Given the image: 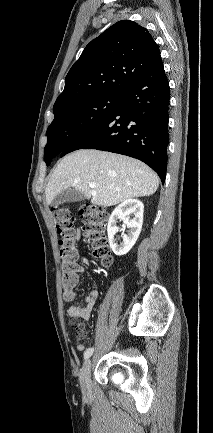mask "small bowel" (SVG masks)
<instances>
[{
  "instance_id": "small-bowel-1",
  "label": "small bowel",
  "mask_w": 213,
  "mask_h": 433,
  "mask_svg": "<svg viewBox=\"0 0 213 433\" xmlns=\"http://www.w3.org/2000/svg\"><path fill=\"white\" fill-rule=\"evenodd\" d=\"M80 238V232L77 231L76 233V239ZM88 264V260L84 259L81 263L76 264V276L83 272L84 266ZM98 298V293L95 290H92L89 292V294L85 297L82 304L79 305H71L68 308V314L71 317L82 319V320H89L92 314V311L96 305V301ZM86 331L83 327V333L80 338L85 337ZM77 349L80 351H83L85 349V345L82 343L77 344Z\"/></svg>"
}]
</instances>
